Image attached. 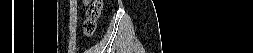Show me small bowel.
<instances>
[{"instance_id": "small-bowel-1", "label": "small bowel", "mask_w": 253, "mask_h": 53, "mask_svg": "<svg viewBox=\"0 0 253 53\" xmlns=\"http://www.w3.org/2000/svg\"><path fill=\"white\" fill-rule=\"evenodd\" d=\"M89 2H90L89 0H83V1H82V3H83L84 5H88Z\"/></svg>"}]
</instances>
